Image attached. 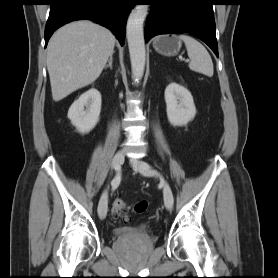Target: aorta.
I'll use <instances>...</instances> for the list:
<instances>
[{
	"instance_id": "aorta-1",
	"label": "aorta",
	"mask_w": 278,
	"mask_h": 278,
	"mask_svg": "<svg viewBox=\"0 0 278 278\" xmlns=\"http://www.w3.org/2000/svg\"><path fill=\"white\" fill-rule=\"evenodd\" d=\"M148 13L147 5H136L132 9L126 27L132 75L135 83L142 78L145 68L146 51L143 23Z\"/></svg>"
}]
</instances>
